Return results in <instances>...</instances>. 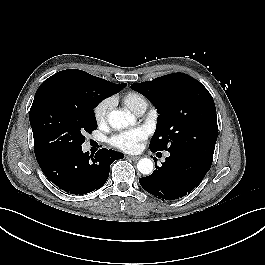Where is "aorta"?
<instances>
[{
	"label": "aorta",
	"instance_id": "aorta-1",
	"mask_svg": "<svg viewBox=\"0 0 265 265\" xmlns=\"http://www.w3.org/2000/svg\"><path fill=\"white\" fill-rule=\"evenodd\" d=\"M135 121L134 116L129 111L113 110L108 116V122L115 129H124ZM137 169L144 175H150L153 172V162L149 158H142L137 163Z\"/></svg>",
	"mask_w": 265,
	"mask_h": 265
}]
</instances>
